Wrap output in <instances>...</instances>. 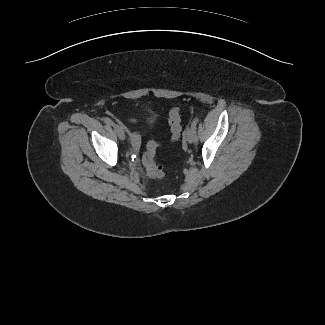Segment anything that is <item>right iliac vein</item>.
<instances>
[{"mask_svg": "<svg viewBox=\"0 0 325 325\" xmlns=\"http://www.w3.org/2000/svg\"><path fill=\"white\" fill-rule=\"evenodd\" d=\"M113 127H114V130H115L117 136L119 137V139L124 140L125 139V133H124V130L122 129V127L117 125V124H114Z\"/></svg>", "mask_w": 325, "mask_h": 325, "instance_id": "1", "label": "right iliac vein"}]
</instances>
